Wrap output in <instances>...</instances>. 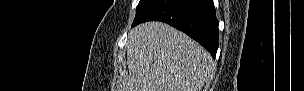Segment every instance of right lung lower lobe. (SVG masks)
Here are the masks:
<instances>
[{"label": "right lung lower lobe", "instance_id": "1", "mask_svg": "<svg viewBox=\"0 0 304 91\" xmlns=\"http://www.w3.org/2000/svg\"><path fill=\"white\" fill-rule=\"evenodd\" d=\"M161 21L183 31L215 58L218 49V20L212 0H152L133 21Z\"/></svg>", "mask_w": 304, "mask_h": 91}]
</instances>
